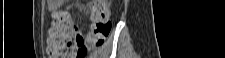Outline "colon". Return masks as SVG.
Listing matches in <instances>:
<instances>
[{
	"label": "colon",
	"mask_w": 225,
	"mask_h": 58,
	"mask_svg": "<svg viewBox=\"0 0 225 58\" xmlns=\"http://www.w3.org/2000/svg\"><path fill=\"white\" fill-rule=\"evenodd\" d=\"M90 15V30L82 34L66 11L59 10L55 13L48 46L51 58H65L68 54H72L74 58H85L90 51L105 43L111 30L110 11L106 1H91Z\"/></svg>",
	"instance_id": "5ec220e1"
}]
</instances>
